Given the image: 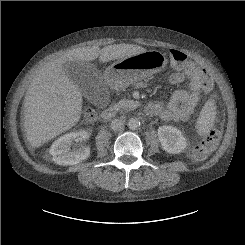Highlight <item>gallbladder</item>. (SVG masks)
<instances>
[{"label": "gallbladder", "mask_w": 245, "mask_h": 245, "mask_svg": "<svg viewBox=\"0 0 245 245\" xmlns=\"http://www.w3.org/2000/svg\"><path fill=\"white\" fill-rule=\"evenodd\" d=\"M68 78L91 103L103 106L107 100L106 87L100 71L89 62L72 61L64 66Z\"/></svg>", "instance_id": "1"}]
</instances>
